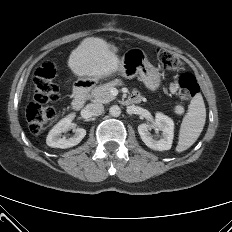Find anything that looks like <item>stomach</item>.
<instances>
[{"label":"stomach","instance_id":"1","mask_svg":"<svg viewBox=\"0 0 232 232\" xmlns=\"http://www.w3.org/2000/svg\"><path fill=\"white\" fill-rule=\"evenodd\" d=\"M119 72L125 78L138 75L152 91L156 90L161 82L158 69L148 62L145 52L140 48L130 49L123 55ZM80 80L85 81V79Z\"/></svg>","mask_w":232,"mask_h":232}]
</instances>
